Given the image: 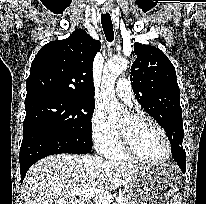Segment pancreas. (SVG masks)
Returning a JSON list of instances; mask_svg holds the SVG:
<instances>
[{
	"instance_id": "1",
	"label": "pancreas",
	"mask_w": 206,
	"mask_h": 204,
	"mask_svg": "<svg viewBox=\"0 0 206 204\" xmlns=\"http://www.w3.org/2000/svg\"><path fill=\"white\" fill-rule=\"evenodd\" d=\"M119 195L123 197V199L119 202V204H132L131 195L127 189L120 191Z\"/></svg>"
}]
</instances>
